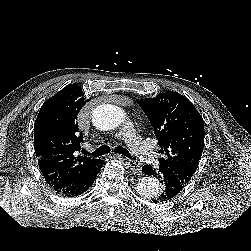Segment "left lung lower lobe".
<instances>
[{
  "label": "left lung lower lobe",
  "mask_w": 251,
  "mask_h": 251,
  "mask_svg": "<svg viewBox=\"0 0 251 251\" xmlns=\"http://www.w3.org/2000/svg\"><path fill=\"white\" fill-rule=\"evenodd\" d=\"M144 173L158 177L163 184L160 193L152 198L154 203H161L168 201L175 197L185 186V184L172 172L167 169L159 167L158 169L152 168L151 165L142 167Z\"/></svg>",
  "instance_id": "1"
}]
</instances>
